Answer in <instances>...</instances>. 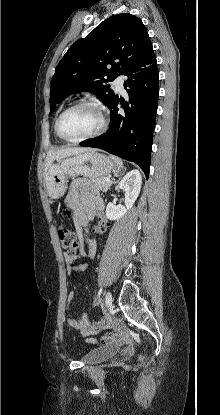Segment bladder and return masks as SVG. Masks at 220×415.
<instances>
[{"label": "bladder", "mask_w": 220, "mask_h": 415, "mask_svg": "<svg viewBox=\"0 0 220 415\" xmlns=\"http://www.w3.org/2000/svg\"><path fill=\"white\" fill-rule=\"evenodd\" d=\"M121 350V347L118 345L105 346L100 348H95L88 351L83 357V363L85 364H95L100 361L109 359L116 356Z\"/></svg>", "instance_id": "bladder-1"}]
</instances>
